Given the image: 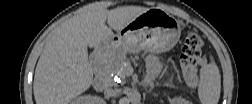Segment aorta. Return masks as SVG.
Here are the masks:
<instances>
[{
	"mask_svg": "<svg viewBox=\"0 0 252 104\" xmlns=\"http://www.w3.org/2000/svg\"><path fill=\"white\" fill-rule=\"evenodd\" d=\"M128 101L132 104H139L141 101V94L138 91H132L128 94Z\"/></svg>",
	"mask_w": 252,
	"mask_h": 104,
	"instance_id": "762f6f07",
	"label": "aorta"
}]
</instances>
